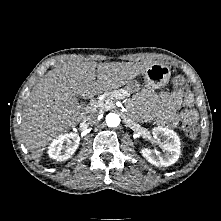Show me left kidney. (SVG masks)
<instances>
[{
    "label": "left kidney",
    "mask_w": 221,
    "mask_h": 221,
    "mask_svg": "<svg viewBox=\"0 0 221 221\" xmlns=\"http://www.w3.org/2000/svg\"><path fill=\"white\" fill-rule=\"evenodd\" d=\"M152 134L155 139L162 138L164 140L162 143L164 154H161L157 150L153 151L143 148L140 151L142 156L149 163L157 167H167L174 164L181 153L179 136L173 130L163 127L153 128Z\"/></svg>",
    "instance_id": "left-kidney-1"
}]
</instances>
